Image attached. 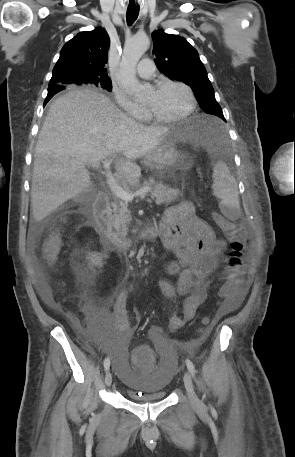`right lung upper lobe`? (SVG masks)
Masks as SVG:
<instances>
[{"label": "right lung upper lobe", "mask_w": 295, "mask_h": 457, "mask_svg": "<svg viewBox=\"0 0 295 457\" xmlns=\"http://www.w3.org/2000/svg\"><path fill=\"white\" fill-rule=\"evenodd\" d=\"M109 45V36L102 27L78 33L63 46L49 87L110 80L106 72Z\"/></svg>", "instance_id": "right-lung-upper-lobe-1"}]
</instances>
